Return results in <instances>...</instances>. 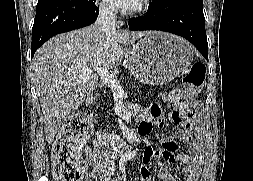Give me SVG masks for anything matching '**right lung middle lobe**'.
<instances>
[{
    "instance_id": "1",
    "label": "right lung middle lobe",
    "mask_w": 253,
    "mask_h": 181,
    "mask_svg": "<svg viewBox=\"0 0 253 181\" xmlns=\"http://www.w3.org/2000/svg\"><path fill=\"white\" fill-rule=\"evenodd\" d=\"M45 1H47V0H38V4H39V3H43V2H45Z\"/></svg>"
}]
</instances>
